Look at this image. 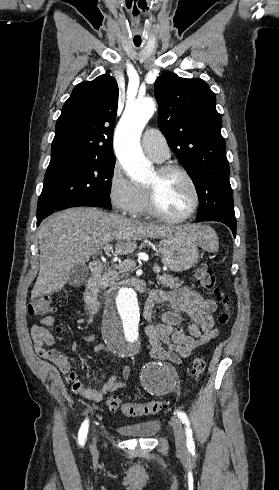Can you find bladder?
I'll use <instances>...</instances> for the list:
<instances>
[{
  "mask_svg": "<svg viewBox=\"0 0 279 490\" xmlns=\"http://www.w3.org/2000/svg\"><path fill=\"white\" fill-rule=\"evenodd\" d=\"M160 420L131 422L125 424H119L117 430L120 431L125 437L139 438V437H153L160 429Z\"/></svg>",
  "mask_w": 279,
  "mask_h": 490,
  "instance_id": "obj_1",
  "label": "bladder"
}]
</instances>
